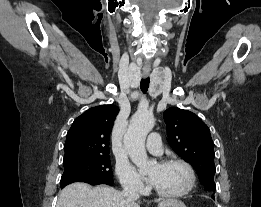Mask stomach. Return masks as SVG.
Masks as SVG:
<instances>
[{"mask_svg":"<svg viewBox=\"0 0 261 207\" xmlns=\"http://www.w3.org/2000/svg\"><path fill=\"white\" fill-rule=\"evenodd\" d=\"M157 207H186V205L177 199H165L159 202Z\"/></svg>","mask_w":261,"mask_h":207,"instance_id":"stomach-1","label":"stomach"}]
</instances>
